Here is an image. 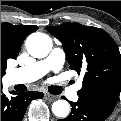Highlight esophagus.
<instances>
[{
    "label": "esophagus",
    "instance_id": "obj_1",
    "mask_svg": "<svg viewBox=\"0 0 121 121\" xmlns=\"http://www.w3.org/2000/svg\"><path fill=\"white\" fill-rule=\"evenodd\" d=\"M45 98L50 100V101H54V100H56L57 97L55 95H51V94L46 93Z\"/></svg>",
    "mask_w": 121,
    "mask_h": 121
}]
</instances>
